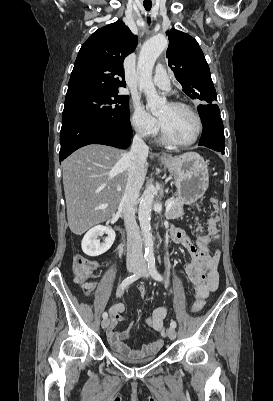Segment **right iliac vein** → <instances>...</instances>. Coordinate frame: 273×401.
<instances>
[{
  "instance_id": "obj_1",
  "label": "right iliac vein",
  "mask_w": 273,
  "mask_h": 401,
  "mask_svg": "<svg viewBox=\"0 0 273 401\" xmlns=\"http://www.w3.org/2000/svg\"><path fill=\"white\" fill-rule=\"evenodd\" d=\"M139 269V265L138 264H131L128 266L127 270L128 272H137ZM111 319L110 318H105L103 319L101 326L103 329L107 328L110 324Z\"/></svg>"
}]
</instances>
